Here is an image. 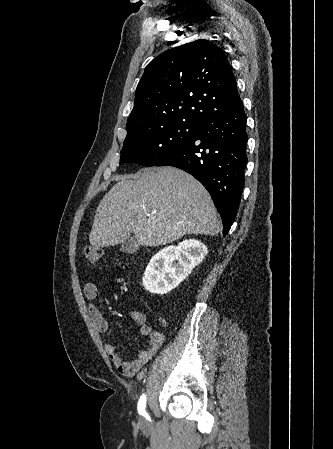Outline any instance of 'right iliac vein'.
<instances>
[{
    "label": "right iliac vein",
    "mask_w": 333,
    "mask_h": 449,
    "mask_svg": "<svg viewBox=\"0 0 333 449\" xmlns=\"http://www.w3.org/2000/svg\"><path fill=\"white\" fill-rule=\"evenodd\" d=\"M140 424H141V425H146V424H147V421H146V419H145L144 417H142V418L140 419Z\"/></svg>",
    "instance_id": "63e3f726"
}]
</instances>
